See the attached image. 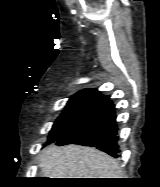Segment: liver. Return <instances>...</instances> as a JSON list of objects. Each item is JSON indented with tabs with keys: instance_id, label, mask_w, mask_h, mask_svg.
I'll use <instances>...</instances> for the list:
<instances>
[{
	"instance_id": "liver-1",
	"label": "liver",
	"mask_w": 160,
	"mask_h": 187,
	"mask_svg": "<svg viewBox=\"0 0 160 187\" xmlns=\"http://www.w3.org/2000/svg\"><path fill=\"white\" fill-rule=\"evenodd\" d=\"M43 178H120L116 159L91 147L51 145L40 154Z\"/></svg>"
}]
</instances>
